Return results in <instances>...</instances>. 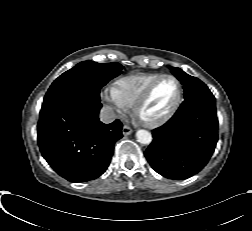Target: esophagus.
<instances>
[{
    "label": "esophagus",
    "instance_id": "1",
    "mask_svg": "<svg viewBox=\"0 0 252 231\" xmlns=\"http://www.w3.org/2000/svg\"><path fill=\"white\" fill-rule=\"evenodd\" d=\"M133 132V129L130 128L129 126H123L122 128V133L124 136L130 135Z\"/></svg>",
    "mask_w": 252,
    "mask_h": 231
}]
</instances>
